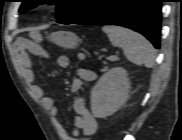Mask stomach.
I'll list each match as a JSON object with an SVG mask.
<instances>
[{
	"mask_svg": "<svg viewBox=\"0 0 182 140\" xmlns=\"http://www.w3.org/2000/svg\"><path fill=\"white\" fill-rule=\"evenodd\" d=\"M49 39L56 45L65 49H73L77 47L79 43V38L77 35L68 31L53 32L49 36Z\"/></svg>",
	"mask_w": 182,
	"mask_h": 140,
	"instance_id": "0dacf381",
	"label": "stomach"
}]
</instances>
